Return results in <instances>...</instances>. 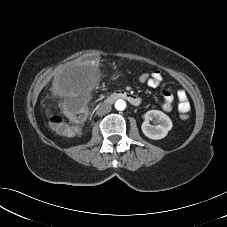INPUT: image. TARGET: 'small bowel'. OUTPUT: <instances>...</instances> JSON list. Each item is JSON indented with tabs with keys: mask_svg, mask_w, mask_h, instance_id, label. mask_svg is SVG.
I'll return each mask as SVG.
<instances>
[{
	"mask_svg": "<svg viewBox=\"0 0 227 227\" xmlns=\"http://www.w3.org/2000/svg\"><path fill=\"white\" fill-rule=\"evenodd\" d=\"M162 81V74L159 70H155L151 74V80L147 84L148 86L155 88L160 85ZM162 95L164 102L161 104V107L165 111H171L174 103V95L169 90H163ZM177 98L179 101L178 110L180 113H187L191 109L190 102L188 100L187 94L183 90L177 92Z\"/></svg>",
	"mask_w": 227,
	"mask_h": 227,
	"instance_id": "c3829d8e",
	"label": "small bowel"
}]
</instances>
